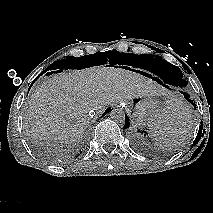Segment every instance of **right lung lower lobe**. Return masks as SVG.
Here are the masks:
<instances>
[{
  "mask_svg": "<svg viewBox=\"0 0 213 213\" xmlns=\"http://www.w3.org/2000/svg\"><path fill=\"white\" fill-rule=\"evenodd\" d=\"M62 70L60 69V70H56V71H51V72H48L47 74L49 75V74H52V73H58V72H61ZM46 72V71H45ZM37 79V78H36ZM35 79V80H36ZM33 84V83H32ZM111 111V108H108L106 111H105V113H107V112H110ZM105 113H104V115H105Z\"/></svg>",
  "mask_w": 213,
  "mask_h": 213,
  "instance_id": "right-lung-lower-lobe-1",
  "label": "right lung lower lobe"
}]
</instances>
